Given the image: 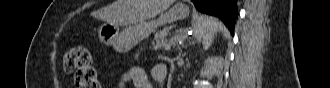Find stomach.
Returning <instances> with one entry per match:
<instances>
[{
	"label": "stomach",
	"instance_id": "0dacf381",
	"mask_svg": "<svg viewBox=\"0 0 330 88\" xmlns=\"http://www.w3.org/2000/svg\"><path fill=\"white\" fill-rule=\"evenodd\" d=\"M188 15V6L176 4L168 11L161 13L157 19L133 24L122 32H119L118 25L106 22L99 28V40L104 44L112 45L118 52H127L158 27L185 19Z\"/></svg>",
	"mask_w": 330,
	"mask_h": 88
}]
</instances>
